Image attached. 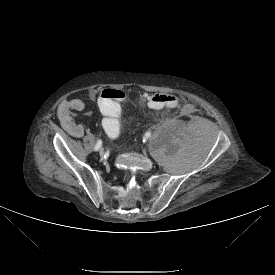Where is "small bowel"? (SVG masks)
I'll use <instances>...</instances> for the list:
<instances>
[{
  "label": "small bowel",
  "instance_id": "small-bowel-1",
  "mask_svg": "<svg viewBox=\"0 0 275 275\" xmlns=\"http://www.w3.org/2000/svg\"><path fill=\"white\" fill-rule=\"evenodd\" d=\"M91 97L96 98V94L91 93ZM83 108V102L77 98L71 99L61 107V123L69 134L76 138L84 135V127L76 123L72 117H79L83 113Z\"/></svg>",
  "mask_w": 275,
  "mask_h": 275
}]
</instances>
